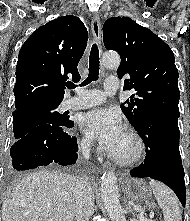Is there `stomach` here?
<instances>
[{
  "instance_id": "stomach-1",
  "label": "stomach",
  "mask_w": 190,
  "mask_h": 221,
  "mask_svg": "<svg viewBox=\"0 0 190 221\" xmlns=\"http://www.w3.org/2000/svg\"><path fill=\"white\" fill-rule=\"evenodd\" d=\"M121 187L126 198L136 202L145 204L148 208H153L152 192L150 186L140 178H123Z\"/></svg>"
}]
</instances>
